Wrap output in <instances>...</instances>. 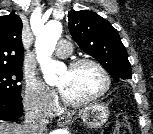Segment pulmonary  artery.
<instances>
[{"mask_svg": "<svg viewBox=\"0 0 153 134\" xmlns=\"http://www.w3.org/2000/svg\"><path fill=\"white\" fill-rule=\"evenodd\" d=\"M72 47L70 42L61 40L58 42L55 53L59 57H68L71 54Z\"/></svg>", "mask_w": 153, "mask_h": 134, "instance_id": "obj_1", "label": "pulmonary artery"}]
</instances>
